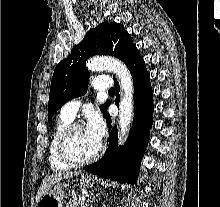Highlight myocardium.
<instances>
[{
  "mask_svg": "<svg viewBox=\"0 0 220 207\" xmlns=\"http://www.w3.org/2000/svg\"><path fill=\"white\" fill-rule=\"evenodd\" d=\"M78 128H84L82 124L78 122H71L60 133L57 140V153L61 161L69 165L70 167H79L91 164L98 160L104 152V145L100 143L98 150L91 157L84 160H76L70 156L67 149V144L71 134Z\"/></svg>",
  "mask_w": 220,
  "mask_h": 207,
  "instance_id": "f54148a6",
  "label": "myocardium"
}]
</instances>
